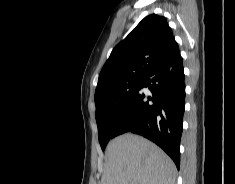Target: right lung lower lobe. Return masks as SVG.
<instances>
[{
	"label": "right lung lower lobe",
	"instance_id": "98d812e1",
	"mask_svg": "<svg viewBox=\"0 0 235 184\" xmlns=\"http://www.w3.org/2000/svg\"><path fill=\"white\" fill-rule=\"evenodd\" d=\"M183 59L178 50L156 65L143 79L152 97L140 91L117 125L116 136L132 132L161 147L180 165V139L185 106Z\"/></svg>",
	"mask_w": 235,
	"mask_h": 184
}]
</instances>
